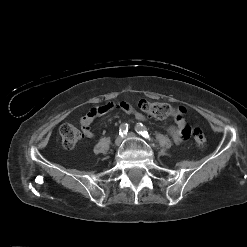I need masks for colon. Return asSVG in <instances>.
Here are the masks:
<instances>
[{"mask_svg":"<svg viewBox=\"0 0 247 247\" xmlns=\"http://www.w3.org/2000/svg\"><path fill=\"white\" fill-rule=\"evenodd\" d=\"M138 107L144 113L158 119H164L167 117H183L185 112L182 107H172L168 103L152 102L148 100L139 101ZM59 133L62 145L66 149H73L82 138V133L80 130L69 123L63 124L59 129ZM190 133L196 146L202 147L205 145L206 134L203 129L196 127L192 129Z\"/></svg>","mask_w":247,"mask_h":247,"instance_id":"1","label":"colon"}]
</instances>
